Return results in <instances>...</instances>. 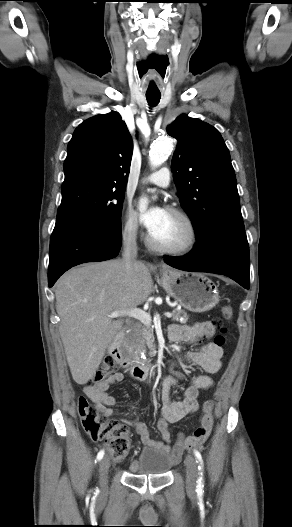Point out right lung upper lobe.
<instances>
[{
  "mask_svg": "<svg viewBox=\"0 0 292 527\" xmlns=\"http://www.w3.org/2000/svg\"><path fill=\"white\" fill-rule=\"evenodd\" d=\"M132 152L131 135L118 112L91 117L68 144L63 183L86 180L125 188Z\"/></svg>",
  "mask_w": 292,
  "mask_h": 527,
  "instance_id": "obj_1",
  "label": "right lung upper lobe"
}]
</instances>
